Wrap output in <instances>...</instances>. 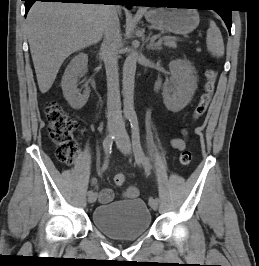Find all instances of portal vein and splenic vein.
I'll return each mask as SVG.
<instances>
[{
  "label": "portal vein and splenic vein",
  "instance_id": "obj_1",
  "mask_svg": "<svg viewBox=\"0 0 259 266\" xmlns=\"http://www.w3.org/2000/svg\"><path fill=\"white\" fill-rule=\"evenodd\" d=\"M162 39H168V40H173V41L177 40L176 37H167V36H164Z\"/></svg>",
  "mask_w": 259,
  "mask_h": 266
}]
</instances>
